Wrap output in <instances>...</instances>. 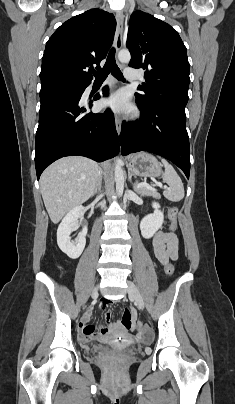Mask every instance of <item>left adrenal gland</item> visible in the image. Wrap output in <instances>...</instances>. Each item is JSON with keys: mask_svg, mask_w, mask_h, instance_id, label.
Returning <instances> with one entry per match:
<instances>
[{"mask_svg": "<svg viewBox=\"0 0 235 404\" xmlns=\"http://www.w3.org/2000/svg\"><path fill=\"white\" fill-rule=\"evenodd\" d=\"M128 181H129V182H132V173H131L130 171L128 172ZM133 187H134V190H135V191H138L137 188H136V184H135V183L133 184Z\"/></svg>", "mask_w": 235, "mask_h": 404, "instance_id": "a2214340", "label": "left adrenal gland"}]
</instances>
